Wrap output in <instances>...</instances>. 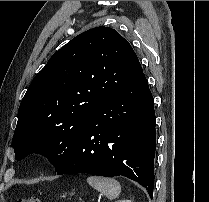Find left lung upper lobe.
Returning <instances> with one entry per match:
<instances>
[{"label": "left lung upper lobe", "instance_id": "left-lung-upper-lobe-1", "mask_svg": "<svg viewBox=\"0 0 209 202\" xmlns=\"http://www.w3.org/2000/svg\"><path fill=\"white\" fill-rule=\"evenodd\" d=\"M116 30L96 27L59 49L34 77L18 109L16 160L36 152L60 169L83 134L87 115L141 73Z\"/></svg>", "mask_w": 209, "mask_h": 202}]
</instances>
